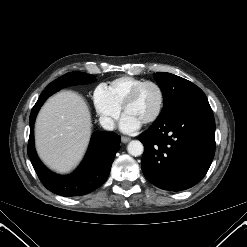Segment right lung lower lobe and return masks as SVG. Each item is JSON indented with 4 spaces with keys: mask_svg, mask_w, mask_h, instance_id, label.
<instances>
[{
    "mask_svg": "<svg viewBox=\"0 0 247 247\" xmlns=\"http://www.w3.org/2000/svg\"><path fill=\"white\" fill-rule=\"evenodd\" d=\"M57 91V89L43 91L31 111L28 156L40 181L48 190L66 197L84 195L97 189L108 178L115 154L120 148V136L112 132L94 133L83 162L72 174L62 176L51 172L36 154L33 129L40 107Z\"/></svg>",
    "mask_w": 247,
    "mask_h": 247,
    "instance_id": "98d812e1",
    "label": "right lung lower lobe"
}]
</instances>
